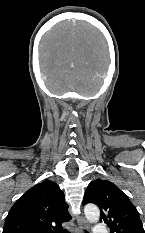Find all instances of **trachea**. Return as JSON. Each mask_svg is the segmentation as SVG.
Returning a JSON list of instances; mask_svg holds the SVG:
<instances>
[{
	"label": "trachea",
	"instance_id": "obj_1",
	"mask_svg": "<svg viewBox=\"0 0 145 233\" xmlns=\"http://www.w3.org/2000/svg\"><path fill=\"white\" fill-rule=\"evenodd\" d=\"M59 233H69L67 230H62ZM85 233H88V231H85Z\"/></svg>",
	"mask_w": 145,
	"mask_h": 233
}]
</instances>
